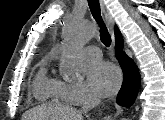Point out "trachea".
<instances>
[{
	"instance_id": "obj_1",
	"label": "trachea",
	"mask_w": 165,
	"mask_h": 120,
	"mask_svg": "<svg viewBox=\"0 0 165 120\" xmlns=\"http://www.w3.org/2000/svg\"><path fill=\"white\" fill-rule=\"evenodd\" d=\"M88 4H89V7H90V10H91V13H92L94 19L99 24L100 39L106 47H109L111 44V36L102 19L99 1L98 0H88Z\"/></svg>"
}]
</instances>
